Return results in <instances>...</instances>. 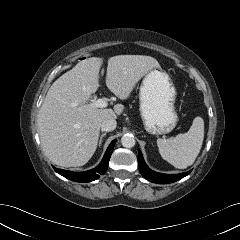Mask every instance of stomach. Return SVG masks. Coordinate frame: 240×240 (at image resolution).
Listing matches in <instances>:
<instances>
[{
  "instance_id": "0dacf381",
  "label": "stomach",
  "mask_w": 240,
  "mask_h": 240,
  "mask_svg": "<svg viewBox=\"0 0 240 240\" xmlns=\"http://www.w3.org/2000/svg\"><path fill=\"white\" fill-rule=\"evenodd\" d=\"M140 114L145 130L154 135L171 132L178 121L175 110L176 89L161 67L148 71L139 92Z\"/></svg>"
}]
</instances>
